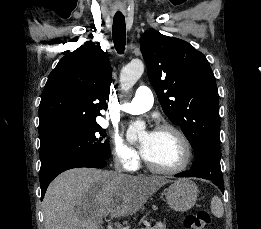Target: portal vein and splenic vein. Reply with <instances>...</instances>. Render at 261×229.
Segmentation results:
<instances>
[{"mask_svg": "<svg viewBox=\"0 0 261 229\" xmlns=\"http://www.w3.org/2000/svg\"><path fill=\"white\" fill-rule=\"evenodd\" d=\"M141 229H149L147 226H142Z\"/></svg>", "mask_w": 261, "mask_h": 229, "instance_id": "portal-vein-and-splenic-vein-1", "label": "portal vein and splenic vein"}]
</instances>
